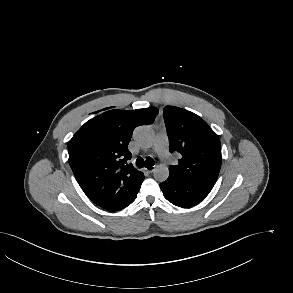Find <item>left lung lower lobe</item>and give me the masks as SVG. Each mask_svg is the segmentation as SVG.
<instances>
[{
	"instance_id": "left-lung-lower-lobe-1",
	"label": "left lung lower lobe",
	"mask_w": 293,
	"mask_h": 293,
	"mask_svg": "<svg viewBox=\"0 0 293 293\" xmlns=\"http://www.w3.org/2000/svg\"><path fill=\"white\" fill-rule=\"evenodd\" d=\"M164 197L179 207H190L201 202L213 186L195 184L177 177H171L160 184Z\"/></svg>"
}]
</instances>
